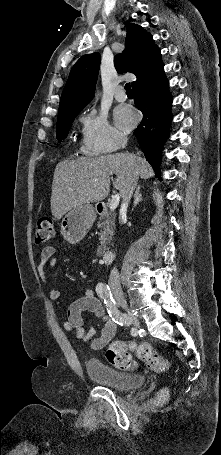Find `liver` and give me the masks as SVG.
<instances>
[{"mask_svg":"<svg viewBox=\"0 0 221 455\" xmlns=\"http://www.w3.org/2000/svg\"><path fill=\"white\" fill-rule=\"evenodd\" d=\"M137 171L142 179L154 176L149 163L134 153H116L92 159L64 160L56 166L51 194V212L56 219L70 209L105 199L113 187L122 195L129 175ZM98 179L96 182L95 180Z\"/></svg>","mask_w":221,"mask_h":455,"instance_id":"6515ba94","label":"liver"}]
</instances>
